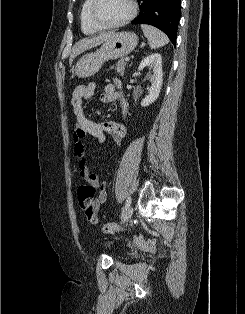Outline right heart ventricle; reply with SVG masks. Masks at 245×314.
Here are the masks:
<instances>
[{
  "mask_svg": "<svg viewBox=\"0 0 245 314\" xmlns=\"http://www.w3.org/2000/svg\"><path fill=\"white\" fill-rule=\"evenodd\" d=\"M91 4L92 0H85L80 12L81 30L85 34H95L98 31L102 30V28L98 27L91 19L90 16Z\"/></svg>",
  "mask_w": 245,
  "mask_h": 314,
  "instance_id": "right-heart-ventricle-1",
  "label": "right heart ventricle"
}]
</instances>
